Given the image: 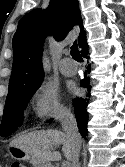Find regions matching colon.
<instances>
[{
  "label": "colon",
  "instance_id": "colon-1",
  "mask_svg": "<svg viewBox=\"0 0 125 167\" xmlns=\"http://www.w3.org/2000/svg\"><path fill=\"white\" fill-rule=\"evenodd\" d=\"M15 167H28L27 164H20V165H17Z\"/></svg>",
  "mask_w": 125,
  "mask_h": 167
}]
</instances>
